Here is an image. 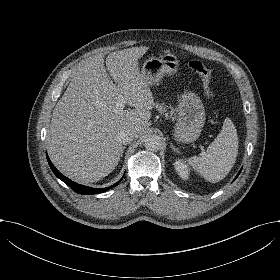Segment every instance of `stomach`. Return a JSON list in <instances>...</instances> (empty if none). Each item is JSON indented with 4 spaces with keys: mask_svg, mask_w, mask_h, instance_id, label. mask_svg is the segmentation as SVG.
Returning a JSON list of instances; mask_svg holds the SVG:
<instances>
[{
    "mask_svg": "<svg viewBox=\"0 0 280 280\" xmlns=\"http://www.w3.org/2000/svg\"><path fill=\"white\" fill-rule=\"evenodd\" d=\"M178 61L173 55L152 57L141 67V77L147 86H155L167 72L176 71ZM177 136L183 142L197 138L205 120V111L199 98L191 93L182 96L178 110Z\"/></svg>",
    "mask_w": 280,
    "mask_h": 280,
    "instance_id": "0dacf381",
    "label": "stomach"
}]
</instances>
